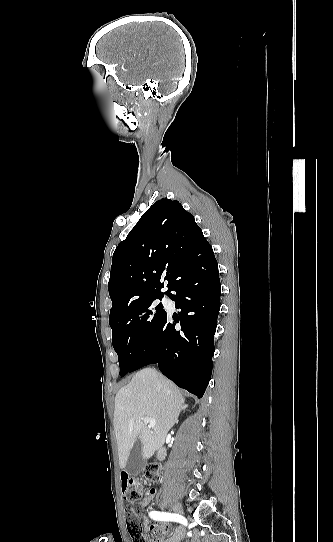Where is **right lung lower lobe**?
I'll use <instances>...</instances> for the list:
<instances>
[{
	"label": "right lung lower lobe",
	"mask_w": 333,
	"mask_h": 542,
	"mask_svg": "<svg viewBox=\"0 0 333 542\" xmlns=\"http://www.w3.org/2000/svg\"><path fill=\"white\" fill-rule=\"evenodd\" d=\"M176 261L179 279L169 290L176 294L167 295L181 312L163 319L152 345L132 371L158 363L160 371L176 385L201 398L211 377L215 351L221 287L218 264L206 239L183 247ZM176 323L181 330H176Z\"/></svg>",
	"instance_id": "obj_1"
}]
</instances>
